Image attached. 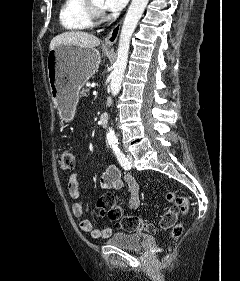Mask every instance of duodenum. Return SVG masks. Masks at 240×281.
I'll list each match as a JSON object with an SVG mask.
<instances>
[{"instance_id": "duodenum-1", "label": "duodenum", "mask_w": 240, "mask_h": 281, "mask_svg": "<svg viewBox=\"0 0 240 281\" xmlns=\"http://www.w3.org/2000/svg\"><path fill=\"white\" fill-rule=\"evenodd\" d=\"M99 121H100V124L103 126V127H106L107 124H108V114L107 112H101L100 115H99Z\"/></svg>"}]
</instances>
